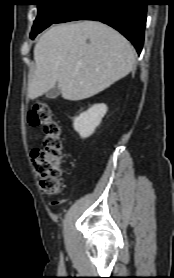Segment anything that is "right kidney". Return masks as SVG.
Returning <instances> with one entry per match:
<instances>
[{"mask_svg":"<svg viewBox=\"0 0 174 278\" xmlns=\"http://www.w3.org/2000/svg\"><path fill=\"white\" fill-rule=\"evenodd\" d=\"M107 112V106L103 103L95 104L87 111L82 112L73 120V127L81 138L91 136L95 129L100 125L102 118Z\"/></svg>","mask_w":174,"mask_h":278,"instance_id":"ca27d5eb","label":"right kidney"}]
</instances>
